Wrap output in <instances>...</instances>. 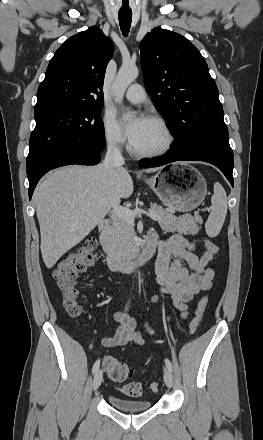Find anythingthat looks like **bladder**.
I'll use <instances>...</instances> for the list:
<instances>
[{"label": "bladder", "instance_id": "1", "mask_svg": "<svg viewBox=\"0 0 263 440\" xmlns=\"http://www.w3.org/2000/svg\"><path fill=\"white\" fill-rule=\"evenodd\" d=\"M109 401L116 409L127 412L144 411L152 407V403L149 400L131 399L117 395H110Z\"/></svg>", "mask_w": 263, "mask_h": 440}]
</instances>
